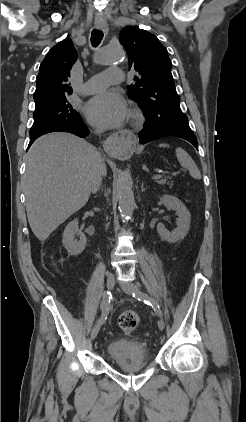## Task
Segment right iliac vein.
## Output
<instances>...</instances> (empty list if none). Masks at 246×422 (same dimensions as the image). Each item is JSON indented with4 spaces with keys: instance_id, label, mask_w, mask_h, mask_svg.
Here are the masks:
<instances>
[{
    "instance_id": "right-iliac-vein-1",
    "label": "right iliac vein",
    "mask_w": 246,
    "mask_h": 422,
    "mask_svg": "<svg viewBox=\"0 0 246 422\" xmlns=\"http://www.w3.org/2000/svg\"><path fill=\"white\" fill-rule=\"evenodd\" d=\"M115 286V277L114 275L110 274L107 278V287L108 289L112 290ZM100 329V324H95L91 332V338L95 339Z\"/></svg>"
}]
</instances>
